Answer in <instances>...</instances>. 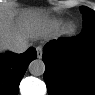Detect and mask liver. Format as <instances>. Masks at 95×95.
<instances>
[{
    "label": "liver",
    "mask_w": 95,
    "mask_h": 95,
    "mask_svg": "<svg viewBox=\"0 0 95 95\" xmlns=\"http://www.w3.org/2000/svg\"><path fill=\"white\" fill-rule=\"evenodd\" d=\"M47 15L42 9L25 8L18 11L4 10L0 13V51L9 50V46L19 40L37 38L36 25L45 22Z\"/></svg>",
    "instance_id": "obj_1"
}]
</instances>
